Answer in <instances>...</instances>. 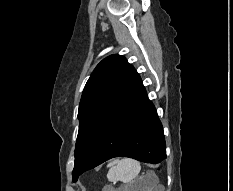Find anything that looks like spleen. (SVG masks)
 <instances>
[{
    "mask_svg": "<svg viewBox=\"0 0 233 191\" xmlns=\"http://www.w3.org/2000/svg\"><path fill=\"white\" fill-rule=\"evenodd\" d=\"M108 167L109 171L107 173V179L110 182L120 180L124 183H130L138 176L141 170L140 163L130 158L114 160L108 164ZM149 175L155 177L153 173H150Z\"/></svg>",
    "mask_w": 233,
    "mask_h": 191,
    "instance_id": "obj_1",
    "label": "spleen"
}]
</instances>
